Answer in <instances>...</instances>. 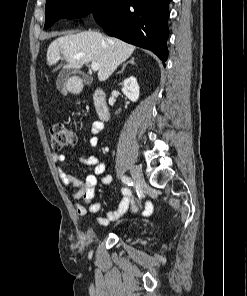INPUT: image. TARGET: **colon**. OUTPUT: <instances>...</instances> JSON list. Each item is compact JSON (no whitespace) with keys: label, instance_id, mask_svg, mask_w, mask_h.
Segmentation results:
<instances>
[{"label":"colon","instance_id":"colon-1","mask_svg":"<svg viewBox=\"0 0 247 296\" xmlns=\"http://www.w3.org/2000/svg\"><path fill=\"white\" fill-rule=\"evenodd\" d=\"M51 147L60 151L73 146L77 141L76 132L62 122H54L49 129Z\"/></svg>","mask_w":247,"mask_h":296}]
</instances>
